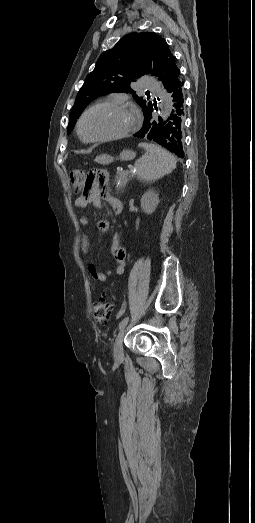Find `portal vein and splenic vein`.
Returning <instances> with one entry per match:
<instances>
[{
  "label": "portal vein and splenic vein",
  "instance_id": "portal-vein-and-splenic-vein-1",
  "mask_svg": "<svg viewBox=\"0 0 255 523\" xmlns=\"http://www.w3.org/2000/svg\"><path fill=\"white\" fill-rule=\"evenodd\" d=\"M125 172H126V173H131V168H126V169H125Z\"/></svg>",
  "mask_w": 255,
  "mask_h": 523
}]
</instances>
